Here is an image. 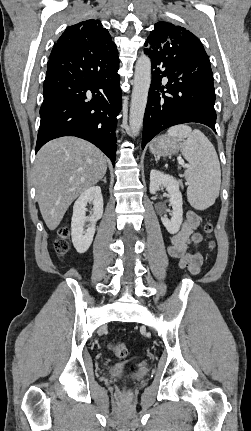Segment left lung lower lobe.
I'll use <instances>...</instances> for the list:
<instances>
[{"label":"left lung lower lobe","mask_w":251,"mask_h":431,"mask_svg":"<svg viewBox=\"0 0 251 431\" xmlns=\"http://www.w3.org/2000/svg\"><path fill=\"white\" fill-rule=\"evenodd\" d=\"M144 46L153 70L142 149L159 132L177 124L197 122L215 131V92L208 56L191 45H169L151 37ZM163 77L168 78L166 84Z\"/></svg>","instance_id":"1"}]
</instances>
